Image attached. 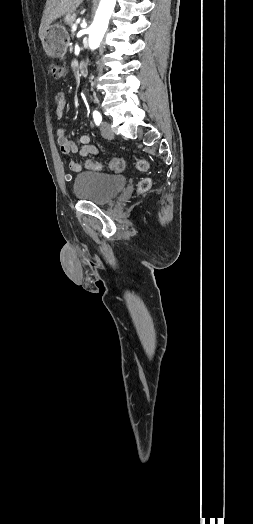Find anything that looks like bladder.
Segmentation results:
<instances>
[{
  "instance_id": "31cf9c89",
  "label": "bladder",
  "mask_w": 253,
  "mask_h": 524,
  "mask_svg": "<svg viewBox=\"0 0 253 524\" xmlns=\"http://www.w3.org/2000/svg\"><path fill=\"white\" fill-rule=\"evenodd\" d=\"M127 185V178L98 172H80L73 182L75 197L97 205L110 203Z\"/></svg>"
}]
</instances>
